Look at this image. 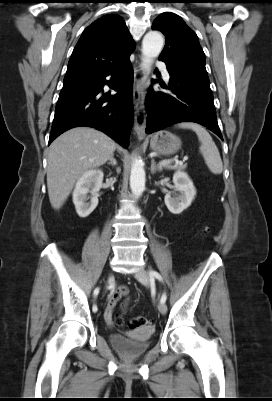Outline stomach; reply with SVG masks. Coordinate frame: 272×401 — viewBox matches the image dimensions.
Listing matches in <instances>:
<instances>
[{
	"instance_id": "1",
	"label": "stomach",
	"mask_w": 272,
	"mask_h": 401,
	"mask_svg": "<svg viewBox=\"0 0 272 401\" xmlns=\"http://www.w3.org/2000/svg\"><path fill=\"white\" fill-rule=\"evenodd\" d=\"M181 139L167 130L154 133L150 139V147L153 151L162 155H172L181 147Z\"/></svg>"
}]
</instances>
